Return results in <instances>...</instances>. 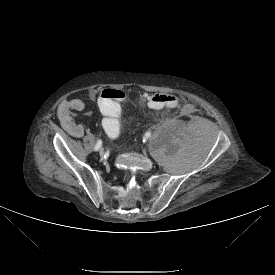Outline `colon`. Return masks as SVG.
Masks as SVG:
<instances>
[{
	"mask_svg": "<svg viewBox=\"0 0 275 275\" xmlns=\"http://www.w3.org/2000/svg\"><path fill=\"white\" fill-rule=\"evenodd\" d=\"M125 99V93L121 90L107 89L100 92L96 97V103L104 118L100 127L110 139L117 138L121 133L118 106ZM146 104L152 109H173L178 106L179 98L173 94H146L143 96Z\"/></svg>",
	"mask_w": 275,
	"mask_h": 275,
	"instance_id": "5ec220e1",
	"label": "colon"
}]
</instances>
